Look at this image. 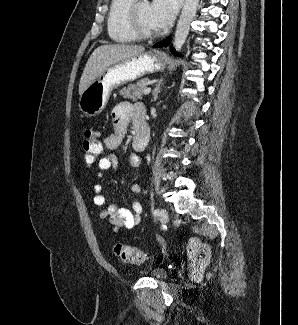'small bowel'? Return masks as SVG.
<instances>
[{"label": "small bowel", "instance_id": "small-bowel-1", "mask_svg": "<svg viewBox=\"0 0 298 325\" xmlns=\"http://www.w3.org/2000/svg\"><path fill=\"white\" fill-rule=\"evenodd\" d=\"M133 107L127 103L122 102L118 104L112 111L113 132L109 134L103 141V146L106 149L105 155L98 161L97 178H101L104 171L115 170L118 164L117 149L122 143L129 122L133 117ZM131 166L139 168L142 166V159L137 154L129 156ZM93 203L100 207L99 216L106 219L111 225L114 232L119 229H133L140 222L143 211L142 204L139 201L132 203V209L129 210L124 207H119L116 204L105 206V197L102 194L100 184L94 185ZM132 191L138 193L140 186L134 184Z\"/></svg>", "mask_w": 298, "mask_h": 325}]
</instances>
